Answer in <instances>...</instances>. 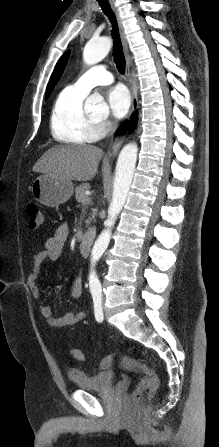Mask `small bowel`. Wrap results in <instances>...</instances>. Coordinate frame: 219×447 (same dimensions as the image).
<instances>
[{"instance_id":"c3829d8e","label":"small bowel","mask_w":219,"mask_h":447,"mask_svg":"<svg viewBox=\"0 0 219 447\" xmlns=\"http://www.w3.org/2000/svg\"><path fill=\"white\" fill-rule=\"evenodd\" d=\"M68 226L61 224L58 226L53 236H51L45 243V248L35 254L33 264L31 266L27 283L32 296L38 299L41 295L40 290V275L42 272V265L45 261H56L60 258L64 244L68 238ZM70 293L73 298H78L82 294V279L77 276L71 283ZM41 316L46 320L49 326L54 328H62L73 326L87 318L85 312L66 311L58 317L52 316L51 308L48 305L40 307Z\"/></svg>"}]
</instances>
